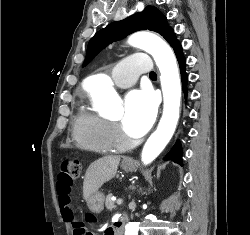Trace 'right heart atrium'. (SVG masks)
<instances>
[{"label":"right heart atrium","instance_id":"right-heart-atrium-1","mask_svg":"<svg viewBox=\"0 0 250 235\" xmlns=\"http://www.w3.org/2000/svg\"><path fill=\"white\" fill-rule=\"evenodd\" d=\"M111 135L116 142L123 144L124 137L122 136L118 128L114 125H111Z\"/></svg>","mask_w":250,"mask_h":235}]
</instances>
